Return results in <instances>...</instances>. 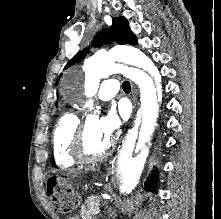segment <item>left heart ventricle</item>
Masks as SVG:
<instances>
[{
  "label": "left heart ventricle",
  "mask_w": 221,
  "mask_h": 219,
  "mask_svg": "<svg viewBox=\"0 0 221 219\" xmlns=\"http://www.w3.org/2000/svg\"><path fill=\"white\" fill-rule=\"evenodd\" d=\"M98 123L99 121L95 118H90L86 122L84 150L88 155L101 153L110 141L102 135Z\"/></svg>",
  "instance_id": "left-heart-ventricle-1"
}]
</instances>
